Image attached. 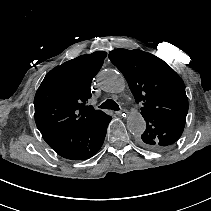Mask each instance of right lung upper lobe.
<instances>
[{
	"label": "right lung upper lobe",
	"mask_w": 211,
	"mask_h": 211,
	"mask_svg": "<svg viewBox=\"0 0 211 211\" xmlns=\"http://www.w3.org/2000/svg\"><path fill=\"white\" fill-rule=\"evenodd\" d=\"M106 53L79 56L51 70L35 98V121L44 140L80 128L101 115L88 105L91 81L100 70Z\"/></svg>",
	"instance_id": "cb5924a9"
}]
</instances>
